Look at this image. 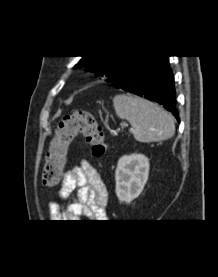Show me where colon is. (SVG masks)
Returning <instances> with one entry per match:
<instances>
[{
    "label": "colon",
    "mask_w": 218,
    "mask_h": 277,
    "mask_svg": "<svg viewBox=\"0 0 218 277\" xmlns=\"http://www.w3.org/2000/svg\"><path fill=\"white\" fill-rule=\"evenodd\" d=\"M78 136L91 146L94 156H102L107 151L104 133L92 113L77 111L64 116L56 126L46 153L42 171L45 186H55L61 180L69 146Z\"/></svg>",
    "instance_id": "5ec220e1"
}]
</instances>
